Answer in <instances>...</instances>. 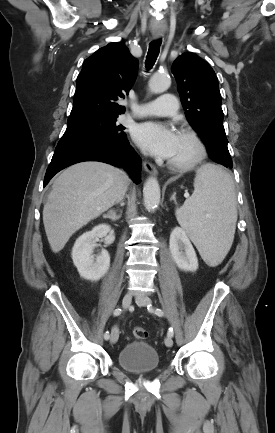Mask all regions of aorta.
Returning a JSON list of instances; mask_svg holds the SVG:
<instances>
[{
    "label": "aorta",
    "mask_w": 275,
    "mask_h": 433,
    "mask_svg": "<svg viewBox=\"0 0 275 433\" xmlns=\"http://www.w3.org/2000/svg\"><path fill=\"white\" fill-rule=\"evenodd\" d=\"M170 78L166 74H154L149 81L153 93H162L170 86ZM160 186L156 178L149 177L143 187L144 205L147 210L154 211L160 203Z\"/></svg>",
    "instance_id": "obj_1"
}]
</instances>
